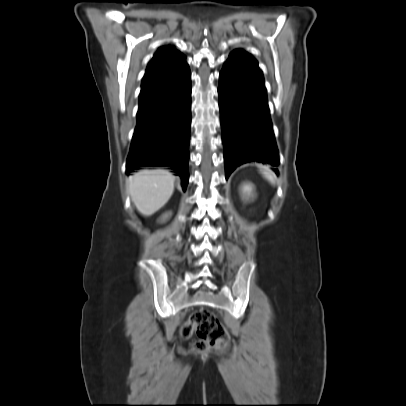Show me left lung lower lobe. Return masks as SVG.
<instances>
[{
    "instance_id": "left-lung-lower-lobe-1",
    "label": "left lung lower lobe",
    "mask_w": 406,
    "mask_h": 406,
    "mask_svg": "<svg viewBox=\"0 0 406 406\" xmlns=\"http://www.w3.org/2000/svg\"><path fill=\"white\" fill-rule=\"evenodd\" d=\"M218 94L226 178L252 161L278 166L264 79L250 54L235 50L229 55L220 72Z\"/></svg>"
}]
</instances>
